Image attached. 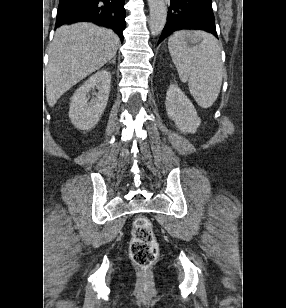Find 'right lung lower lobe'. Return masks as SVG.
Here are the masks:
<instances>
[{
	"label": "right lung lower lobe",
	"instance_id": "98d812e1",
	"mask_svg": "<svg viewBox=\"0 0 286 308\" xmlns=\"http://www.w3.org/2000/svg\"><path fill=\"white\" fill-rule=\"evenodd\" d=\"M125 0H60L56 25L69 22H93L115 30L123 41L126 11Z\"/></svg>",
	"mask_w": 286,
	"mask_h": 308
}]
</instances>
